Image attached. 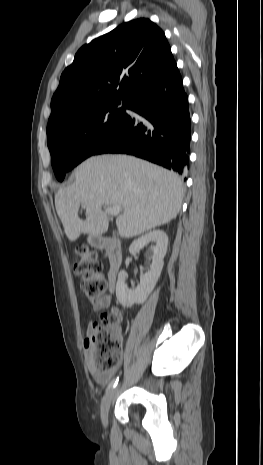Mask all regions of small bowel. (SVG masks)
Returning <instances> with one entry per match:
<instances>
[{"label": "small bowel", "mask_w": 263, "mask_h": 465, "mask_svg": "<svg viewBox=\"0 0 263 465\" xmlns=\"http://www.w3.org/2000/svg\"><path fill=\"white\" fill-rule=\"evenodd\" d=\"M110 303H111V296L110 295H105L102 298H100V299H98L96 301H93V308H94V310H101V309H104V308L108 307L110 305ZM93 324L94 323L91 322L89 324V326H88L87 337L91 333ZM84 346H85V349H86L87 354L89 356V370H90V373L92 374V376L94 377V379L98 383L105 384L111 378L114 371H109V372H105V373L97 371L95 369L94 365L92 364L91 360H90V348L87 345L86 341L84 342Z\"/></svg>", "instance_id": "c3829d8e"}]
</instances>
